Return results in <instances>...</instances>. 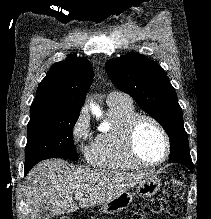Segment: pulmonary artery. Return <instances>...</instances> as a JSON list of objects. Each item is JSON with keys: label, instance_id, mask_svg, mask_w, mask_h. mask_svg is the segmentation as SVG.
Returning <instances> with one entry per match:
<instances>
[{"label": "pulmonary artery", "instance_id": "1", "mask_svg": "<svg viewBox=\"0 0 211 219\" xmlns=\"http://www.w3.org/2000/svg\"><path fill=\"white\" fill-rule=\"evenodd\" d=\"M117 101L131 102V99L128 96L123 95L119 92H115V91L108 94L107 103H112V102H117Z\"/></svg>", "mask_w": 211, "mask_h": 219}]
</instances>
